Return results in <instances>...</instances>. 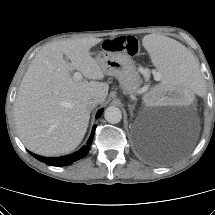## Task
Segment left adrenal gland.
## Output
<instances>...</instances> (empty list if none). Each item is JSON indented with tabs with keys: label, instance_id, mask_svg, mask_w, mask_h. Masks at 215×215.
<instances>
[{
	"label": "left adrenal gland",
	"instance_id": "a2214340",
	"mask_svg": "<svg viewBox=\"0 0 215 215\" xmlns=\"http://www.w3.org/2000/svg\"><path fill=\"white\" fill-rule=\"evenodd\" d=\"M130 112L132 113L133 109H134V105H128Z\"/></svg>",
	"mask_w": 215,
	"mask_h": 215
}]
</instances>
